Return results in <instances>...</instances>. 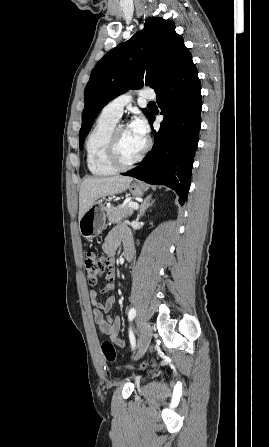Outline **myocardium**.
<instances>
[{
    "mask_svg": "<svg viewBox=\"0 0 269 447\" xmlns=\"http://www.w3.org/2000/svg\"><path fill=\"white\" fill-rule=\"evenodd\" d=\"M123 127H125V125H115L108 137L107 159L116 169H128L138 164L144 159L151 147L150 139H146V146L143 149L142 153L136 159L131 162L122 161V159L120 158L118 147V132Z\"/></svg>",
    "mask_w": 269,
    "mask_h": 447,
    "instance_id": "myocardium-1",
    "label": "myocardium"
}]
</instances>
